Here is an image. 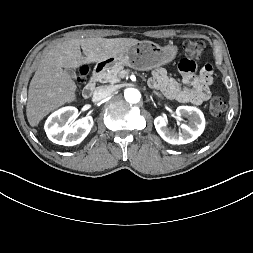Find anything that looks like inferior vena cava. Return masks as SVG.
<instances>
[{
	"label": "inferior vena cava",
	"mask_w": 253,
	"mask_h": 253,
	"mask_svg": "<svg viewBox=\"0 0 253 253\" xmlns=\"http://www.w3.org/2000/svg\"><path fill=\"white\" fill-rule=\"evenodd\" d=\"M114 92L112 87L109 86H101L98 87L93 95V98L97 101L102 100L108 96H110Z\"/></svg>",
	"instance_id": "1"
}]
</instances>
